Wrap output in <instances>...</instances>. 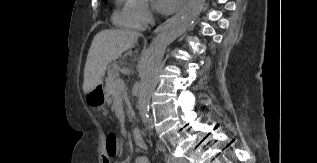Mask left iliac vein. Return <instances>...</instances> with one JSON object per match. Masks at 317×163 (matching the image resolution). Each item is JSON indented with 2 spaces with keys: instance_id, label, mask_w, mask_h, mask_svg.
Returning <instances> with one entry per match:
<instances>
[{
  "instance_id": "4c4485c4",
  "label": "left iliac vein",
  "mask_w": 317,
  "mask_h": 163,
  "mask_svg": "<svg viewBox=\"0 0 317 163\" xmlns=\"http://www.w3.org/2000/svg\"><path fill=\"white\" fill-rule=\"evenodd\" d=\"M170 161L168 163H179L176 159L171 158L169 159ZM184 163H188L187 161H185Z\"/></svg>"
}]
</instances>
